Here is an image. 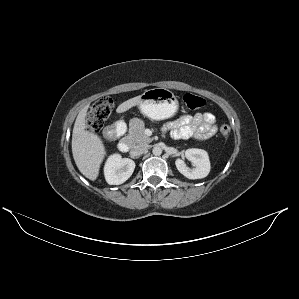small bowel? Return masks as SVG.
<instances>
[{
  "mask_svg": "<svg viewBox=\"0 0 299 299\" xmlns=\"http://www.w3.org/2000/svg\"><path fill=\"white\" fill-rule=\"evenodd\" d=\"M166 129H169L172 137L176 139L195 138L205 140L217 132V122L216 117L209 112L194 115L184 114L169 122Z\"/></svg>",
  "mask_w": 299,
  "mask_h": 299,
  "instance_id": "1",
  "label": "small bowel"
}]
</instances>
